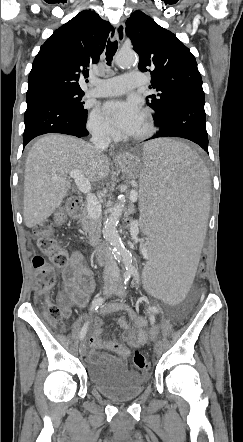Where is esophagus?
<instances>
[{"label": "esophagus", "mask_w": 243, "mask_h": 442, "mask_svg": "<svg viewBox=\"0 0 243 442\" xmlns=\"http://www.w3.org/2000/svg\"><path fill=\"white\" fill-rule=\"evenodd\" d=\"M115 38L118 40L119 43H122L124 41L125 37V25L123 22H120L115 25V31H114ZM126 155L122 153H118L116 155V160L118 162L125 161Z\"/></svg>", "instance_id": "1"}]
</instances>
